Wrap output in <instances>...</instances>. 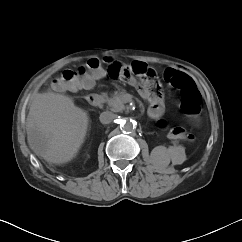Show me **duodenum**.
<instances>
[{"mask_svg":"<svg viewBox=\"0 0 242 242\" xmlns=\"http://www.w3.org/2000/svg\"><path fill=\"white\" fill-rule=\"evenodd\" d=\"M89 105L99 107L102 104V97L99 94L91 93L86 98Z\"/></svg>","mask_w":242,"mask_h":242,"instance_id":"duodenum-1","label":"duodenum"}]
</instances>
